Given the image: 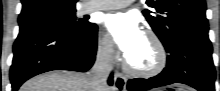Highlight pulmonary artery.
Wrapping results in <instances>:
<instances>
[{"mask_svg": "<svg viewBox=\"0 0 220 91\" xmlns=\"http://www.w3.org/2000/svg\"><path fill=\"white\" fill-rule=\"evenodd\" d=\"M132 1L130 0H101L92 1L87 7V12L97 11V10H108L117 9L128 6Z\"/></svg>", "mask_w": 220, "mask_h": 91, "instance_id": "obj_1", "label": "pulmonary artery"}]
</instances>
